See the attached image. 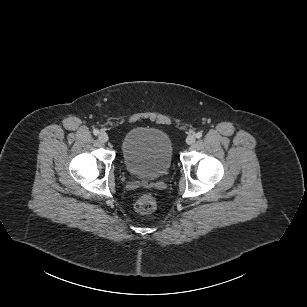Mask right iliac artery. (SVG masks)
Masks as SVG:
<instances>
[{"label": "right iliac artery", "mask_w": 307, "mask_h": 307, "mask_svg": "<svg viewBox=\"0 0 307 307\" xmlns=\"http://www.w3.org/2000/svg\"><path fill=\"white\" fill-rule=\"evenodd\" d=\"M93 134H94V135H98V134H99V130H98V129H94V130H93Z\"/></svg>", "instance_id": "1"}]
</instances>
